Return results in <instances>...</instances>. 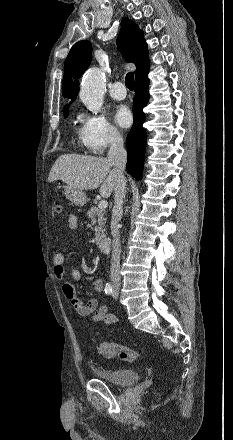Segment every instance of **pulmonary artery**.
Masks as SVG:
<instances>
[{
  "label": "pulmonary artery",
  "mask_w": 233,
  "mask_h": 440,
  "mask_svg": "<svg viewBox=\"0 0 233 440\" xmlns=\"http://www.w3.org/2000/svg\"><path fill=\"white\" fill-rule=\"evenodd\" d=\"M110 95L116 100H123L127 95L123 83L120 81H116L110 89Z\"/></svg>",
  "instance_id": "e3ab8cb5"
}]
</instances>
